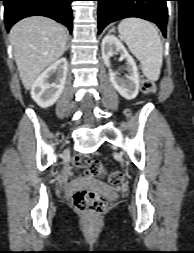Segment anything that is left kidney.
Listing matches in <instances>:
<instances>
[{"mask_svg":"<svg viewBox=\"0 0 194 253\" xmlns=\"http://www.w3.org/2000/svg\"><path fill=\"white\" fill-rule=\"evenodd\" d=\"M102 58L109 68L110 81L118 93L125 99H133L139 91V73L134 59L127 52L121 41L114 35H106L101 45ZM114 53H120L122 59H126L127 79H121L112 71L110 57Z\"/></svg>","mask_w":194,"mask_h":253,"instance_id":"5707ae66","label":"left kidney"}]
</instances>
